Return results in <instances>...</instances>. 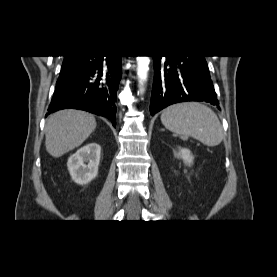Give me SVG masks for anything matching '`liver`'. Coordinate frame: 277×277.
I'll list each match as a JSON object with an SVG mask.
<instances>
[{
    "mask_svg": "<svg viewBox=\"0 0 277 277\" xmlns=\"http://www.w3.org/2000/svg\"><path fill=\"white\" fill-rule=\"evenodd\" d=\"M92 114L80 110H61L49 116L45 126V146L53 157H60L80 146L95 130Z\"/></svg>",
    "mask_w": 277,
    "mask_h": 277,
    "instance_id": "liver-1",
    "label": "liver"
}]
</instances>
